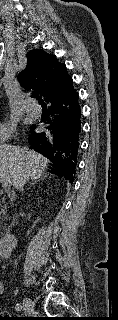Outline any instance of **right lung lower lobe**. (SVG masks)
Returning a JSON list of instances; mask_svg holds the SVG:
<instances>
[{
    "label": "right lung lower lobe",
    "instance_id": "right-lung-lower-lobe-1",
    "mask_svg": "<svg viewBox=\"0 0 118 320\" xmlns=\"http://www.w3.org/2000/svg\"><path fill=\"white\" fill-rule=\"evenodd\" d=\"M78 98L72 87L51 99L48 102L50 119L46 122V130L32 131L29 137L31 147L54 163L51 173L63 176L71 183L76 173L81 135Z\"/></svg>",
    "mask_w": 118,
    "mask_h": 320
}]
</instances>
